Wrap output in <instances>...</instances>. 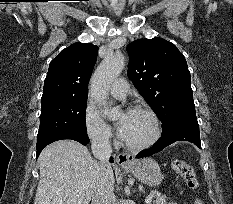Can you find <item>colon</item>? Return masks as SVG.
I'll return each mask as SVG.
<instances>
[{
    "mask_svg": "<svg viewBox=\"0 0 233 204\" xmlns=\"http://www.w3.org/2000/svg\"><path fill=\"white\" fill-rule=\"evenodd\" d=\"M172 169L181 175L183 179L186 181L187 185L191 189H197L198 188V180L196 178L194 169L191 165L187 164L186 162L182 160H174L171 164ZM195 204H203V202L199 199L195 200Z\"/></svg>",
    "mask_w": 233,
    "mask_h": 204,
    "instance_id": "5ec220e1",
    "label": "colon"
}]
</instances>
